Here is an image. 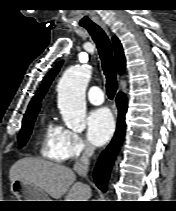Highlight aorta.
I'll use <instances>...</instances> for the list:
<instances>
[{
  "label": "aorta",
  "mask_w": 176,
  "mask_h": 211,
  "mask_svg": "<svg viewBox=\"0 0 176 211\" xmlns=\"http://www.w3.org/2000/svg\"><path fill=\"white\" fill-rule=\"evenodd\" d=\"M92 71L88 66L71 67L58 83V107L65 125L74 130L85 129V91Z\"/></svg>",
  "instance_id": "762f6f07"
}]
</instances>
